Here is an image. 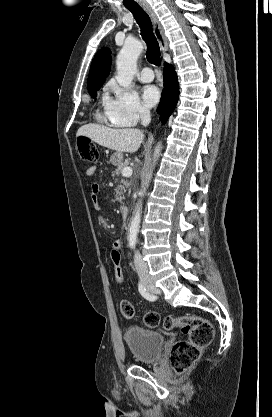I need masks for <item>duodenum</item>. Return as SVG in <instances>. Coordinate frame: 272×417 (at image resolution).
I'll return each mask as SVG.
<instances>
[{"label":"duodenum","instance_id":"obj_1","mask_svg":"<svg viewBox=\"0 0 272 417\" xmlns=\"http://www.w3.org/2000/svg\"><path fill=\"white\" fill-rule=\"evenodd\" d=\"M120 210H121L122 216L126 218L128 216V213H129L128 206L127 205H122Z\"/></svg>","mask_w":272,"mask_h":417}]
</instances>
